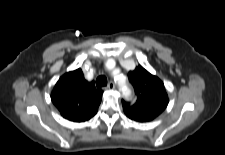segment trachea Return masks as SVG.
<instances>
[{
	"label": "trachea",
	"mask_w": 225,
	"mask_h": 155,
	"mask_svg": "<svg viewBox=\"0 0 225 155\" xmlns=\"http://www.w3.org/2000/svg\"><path fill=\"white\" fill-rule=\"evenodd\" d=\"M107 85V78L105 76H99L97 79H96V86L97 87H103V86H106Z\"/></svg>",
	"instance_id": "1"
}]
</instances>
